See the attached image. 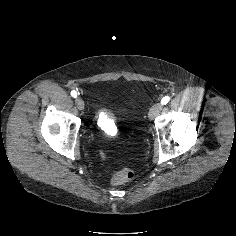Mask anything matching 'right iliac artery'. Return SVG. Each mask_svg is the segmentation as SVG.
Masks as SVG:
<instances>
[{
  "instance_id": "82829eb1",
  "label": "right iliac artery",
  "mask_w": 236,
  "mask_h": 236,
  "mask_svg": "<svg viewBox=\"0 0 236 236\" xmlns=\"http://www.w3.org/2000/svg\"><path fill=\"white\" fill-rule=\"evenodd\" d=\"M71 96L74 97V98H76V97H77V92H76V91H72V92H71Z\"/></svg>"
}]
</instances>
